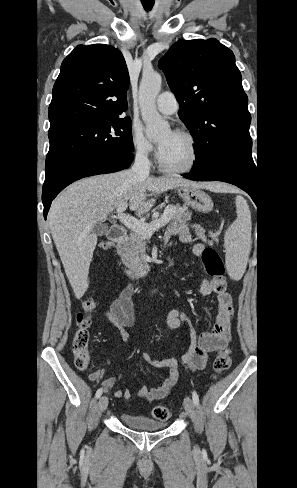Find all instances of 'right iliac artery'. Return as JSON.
Returning a JSON list of instances; mask_svg holds the SVG:
<instances>
[{
  "label": "right iliac artery",
  "instance_id": "1",
  "mask_svg": "<svg viewBox=\"0 0 297 488\" xmlns=\"http://www.w3.org/2000/svg\"><path fill=\"white\" fill-rule=\"evenodd\" d=\"M103 393V390L101 388H99L97 391H96V394H95V397L98 399Z\"/></svg>",
  "mask_w": 297,
  "mask_h": 488
}]
</instances>
